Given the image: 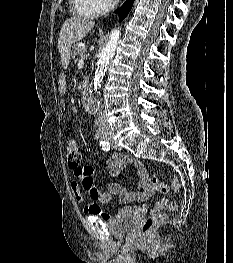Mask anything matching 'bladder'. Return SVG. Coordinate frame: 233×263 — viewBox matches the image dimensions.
I'll use <instances>...</instances> for the list:
<instances>
[{"instance_id": "31cf9c89", "label": "bladder", "mask_w": 233, "mask_h": 263, "mask_svg": "<svg viewBox=\"0 0 233 263\" xmlns=\"http://www.w3.org/2000/svg\"><path fill=\"white\" fill-rule=\"evenodd\" d=\"M139 222V215L127 209L117 212L106 221L108 230L116 237L130 238L134 235Z\"/></svg>"}]
</instances>
